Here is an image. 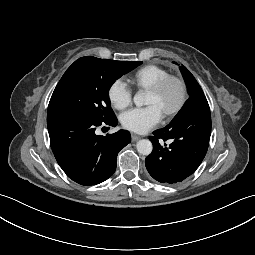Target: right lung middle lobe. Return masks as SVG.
Here are the masks:
<instances>
[{
  "instance_id": "right-lung-middle-lobe-1",
  "label": "right lung middle lobe",
  "mask_w": 255,
  "mask_h": 255,
  "mask_svg": "<svg viewBox=\"0 0 255 255\" xmlns=\"http://www.w3.org/2000/svg\"><path fill=\"white\" fill-rule=\"evenodd\" d=\"M141 61H115L92 56L76 60L57 84L48 113L73 112L102 121L115 117L109 89L123 74Z\"/></svg>"
}]
</instances>
